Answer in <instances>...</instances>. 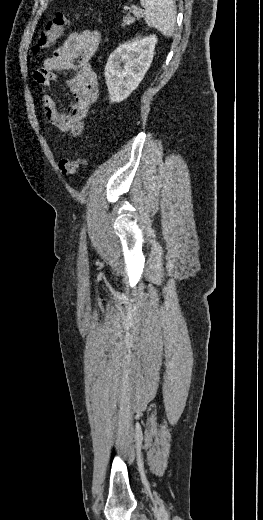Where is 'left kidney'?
I'll list each match as a JSON object with an SVG mask.
<instances>
[{
	"label": "left kidney",
	"mask_w": 263,
	"mask_h": 520,
	"mask_svg": "<svg viewBox=\"0 0 263 520\" xmlns=\"http://www.w3.org/2000/svg\"><path fill=\"white\" fill-rule=\"evenodd\" d=\"M156 42L154 35L135 39L110 55L104 74L112 103L125 100L138 87L152 63Z\"/></svg>",
	"instance_id": "1"
}]
</instances>
